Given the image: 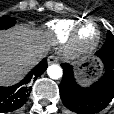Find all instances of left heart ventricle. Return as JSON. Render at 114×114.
I'll return each mask as SVG.
<instances>
[{
  "mask_svg": "<svg viewBox=\"0 0 114 114\" xmlns=\"http://www.w3.org/2000/svg\"><path fill=\"white\" fill-rule=\"evenodd\" d=\"M94 36V29L91 25H85L81 30V37L85 40H89Z\"/></svg>",
  "mask_w": 114,
  "mask_h": 114,
  "instance_id": "left-heart-ventricle-1",
  "label": "left heart ventricle"
}]
</instances>
